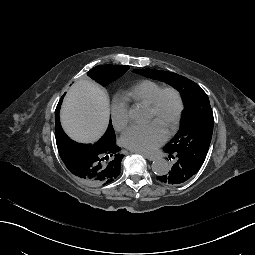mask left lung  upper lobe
Listing matches in <instances>:
<instances>
[{"mask_svg":"<svg viewBox=\"0 0 255 255\" xmlns=\"http://www.w3.org/2000/svg\"><path fill=\"white\" fill-rule=\"evenodd\" d=\"M133 71L145 77L163 81L181 93L185 104L181 128L165 145L169 149L164 147L163 151L167 154L171 152L168 156L170 160L175 155L181 154L199 170L206 158L214 126L213 112L207 94L195 82L175 73L153 69Z\"/></svg>","mask_w":255,"mask_h":255,"instance_id":"1","label":"left lung upper lobe"}]
</instances>
